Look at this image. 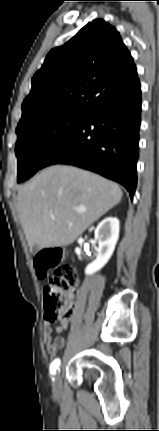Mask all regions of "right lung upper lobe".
<instances>
[{
	"instance_id": "cb5924a9",
	"label": "right lung upper lobe",
	"mask_w": 159,
	"mask_h": 431,
	"mask_svg": "<svg viewBox=\"0 0 159 431\" xmlns=\"http://www.w3.org/2000/svg\"><path fill=\"white\" fill-rule=\"evenodd\" d=\"M137 80L133 58L118 31L96 19L48 53L32 78L16 131L60 112L89 113Z\"/></svg>"
}]
</instances>
